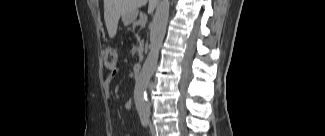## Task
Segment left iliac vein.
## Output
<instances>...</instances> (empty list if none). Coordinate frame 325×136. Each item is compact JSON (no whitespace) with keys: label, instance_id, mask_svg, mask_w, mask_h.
<instances>
[{"label":"left iliac vein","instance_id":"1","mask_svg":"<svg viewBox=\"0 0 325 136\" xmlns=\"http://www.w3.org/2000/svg\"><path fill=\"white\" fill-rule=\"evenodd\" d=\"M149 127H150L151 134L155 135V126L153 125V123L150 122Z\"/></svg>","mask_w":325,"mask_h":136}]
</instances>
